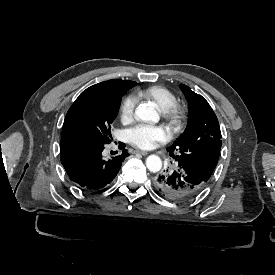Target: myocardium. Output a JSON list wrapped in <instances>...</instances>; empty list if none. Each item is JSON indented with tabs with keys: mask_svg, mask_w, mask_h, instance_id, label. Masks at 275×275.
Here are the masks:
<instances>
[{
	"mask_svg": "<svg viewBox=\"0 0 275 275\" xmlns=\"http://www.w3.org/2000/svg\"><path fill=\"white\" fill-rule=\"evenodd\" d=\"M162 114L174 130L180 129L186 120L185 110L176 103L164 108Z\"/></svg>",
	"mask_w": 275,
	"mask_h": 275,
	"instance_id": "f54148a6",
	"label": "myocardium"
}]
</instances>
